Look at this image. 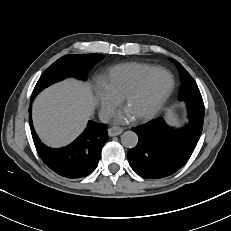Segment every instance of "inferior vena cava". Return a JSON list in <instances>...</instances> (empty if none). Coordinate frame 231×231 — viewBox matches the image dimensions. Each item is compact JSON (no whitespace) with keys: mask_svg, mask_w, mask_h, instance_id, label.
Returning <instances> with one entry per match:
<instances>
[{"mask_svg":"<svg viewBox=\"0 0 231 231\" xmlns=\"http://www.w3.org/2000/svg\"><path fill=\"white\" fill-rule=\"evenodd\" d=\"M112 113L107 112V111H102L99 113V119L103 123H108V121L111 119Z\"/></svg>","mask_w":231,"mask_h":231,"instance_id":"602c4592","label":"inferior vena cava"}]
</instances>
